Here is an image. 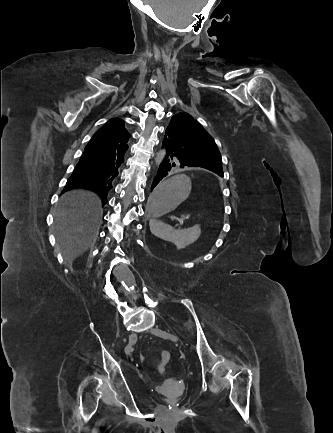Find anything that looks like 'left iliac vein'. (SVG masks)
<instances>
[{
    "label": "left iliac vein",
    "instance_id": "left-iliac-vein-1",
    "mask_svg": "<svg viewBox=\"0 0 333 433\" xmlns=\"http://www.w3.org/2000/svg\"><path fill=\"white\" fill-rule=\"evenodd\" d=\"M150 332H151L152 334H154V335L159 336V337H162V338H165V339H170V340L173 341V342H178V338H177L176 335L171 334V333H169V332H167V331H165V330H161V329H159V328H152V329L150 330Z\"/></svg>",
    "mask_w": 333,
    "mask_h": 433
}]
</instances>
